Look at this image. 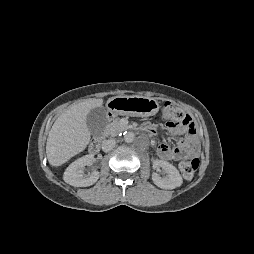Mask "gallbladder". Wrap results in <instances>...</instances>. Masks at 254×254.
Here are the masks:
<instances>
[{"label": "gallbladder", "instance_id": "obj_1", "mask_svg": "<svg viewBox=\"0 0 254 254\" xmlns=\"http://www.w3.org/2000/svg\"><path fill=\"white\" fill-rule=\"evenodd\" d=\"M86 124L93 136H101L107 125L106 109L104 107L91 109L86 117Z\"/></svg>", "mask_w": 254, "mask_h": 254}]
</instances>
